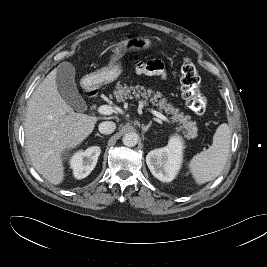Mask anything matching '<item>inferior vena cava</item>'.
Instances as JSON below:
<instances>
[{
  "mask_svg": "<svg viewBox=\"0 0 267 267\" xmlns=\"http://www.w3.org/2000/svg\"><path fill=\"white\" fill-rule=\"evenodd\" d=\"M116 124L112 121H105L99 124V132L102 134H111L114 132Z\"/></svg>",
  "mask_w": 267,
  "mask_h": 267,
  "instance_id": "1",
  "label": "inferior vena cava"
}]
</instances>
